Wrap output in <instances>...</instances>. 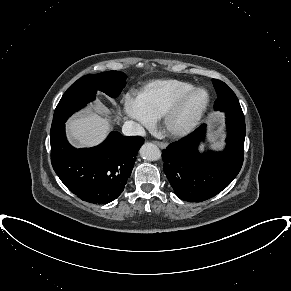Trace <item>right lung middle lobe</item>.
I'll list each match as a JSON object with an SVG mask.
<instances>
[{
	"instance_id": "dd1d6c3e",
	"label": "right lung middle lobe",
	"mask_w": 291,
	"mask_h": 291,
	"mask_svg": "<svg viewBox=\"0 0 291 291\" xmlns=\"http://www.w3.org/2000/svg\"><path fill=\"white\" fill-rule=\"evenodd\" d=\"M126 75L119 71H108L99 74H88L74 82L59 101L53 116L51 132L74 112L84 107L100 90L110 97H117L126 84Z\"/></svg>"
}]
</instances>
